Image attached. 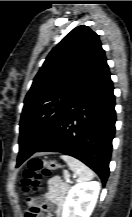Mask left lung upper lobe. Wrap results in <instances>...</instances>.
I'll use <instances>...</instances> for the list:
<instances>
[{
    "label": "left lung upper lobe",
    "mask_w": 132,
    "mask_h": 217,
    "mask_svg": "<svg viewBox=\"0 0 132 217\" xmlns=\"http://www.w3.org/2000/svg\"><path fill=\"white\" fill-rule=\"evenodd\" d=\"M105 61L99 36L87 26L76 27L52 49L24 100L19 139L28 153L43 143ZM35 134L40 138L33 140Z\"/></svg>",
    "instance_id": "5c2ea615"
}]
</instances>
